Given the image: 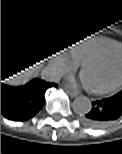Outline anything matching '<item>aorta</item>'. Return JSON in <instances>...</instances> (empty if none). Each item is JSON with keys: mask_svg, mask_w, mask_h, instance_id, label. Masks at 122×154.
I'll list each match as a JSON object with an SVG mask.
<instances>
[{"mask_svg": "<svg viewBox=\"0 0 122 154\" xmlns=\"http://www.w3.org/2000/svg\"><path fill=\"white\" fill-rule=\"evenodd\" d=\"M72 108L76 114L85 115L90 112L92 104L88 97L79 96L73 101Z\"/></svg>", "mask_w": 122, "mask_h": 154, "instance_id": "obj_1", "label": "aorta"}]
</instances>
